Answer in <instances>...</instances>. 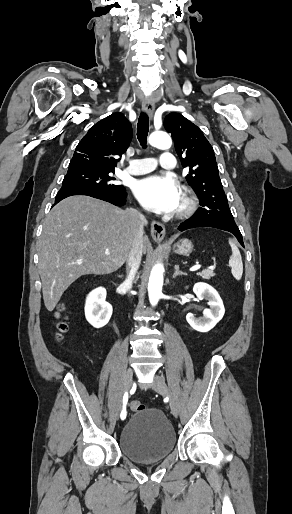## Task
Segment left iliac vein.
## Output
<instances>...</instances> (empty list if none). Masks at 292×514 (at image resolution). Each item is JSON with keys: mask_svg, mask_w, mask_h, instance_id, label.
<instances>
[{"mask_svg": "<svg viewBox=\"0 0 292 514\" xmlns=\"http://www.w3.org/2000/svg\"><path fill=\"white\" fill-rule=\"evenodd\" d=\"M153 388L159 394L170 397L169 398V405H170L171 413L175 417H177L178 416L177 405H176L175 401L173 400V398H171V396L169 395L168 387H167L164 379L161 376L155 375L154 383H153Z\"/></svg>", "mask_w": 292, "mask_h": 514, "instance_id": "4c4485c4", "label": "left iliac vein"}]
</instances>
